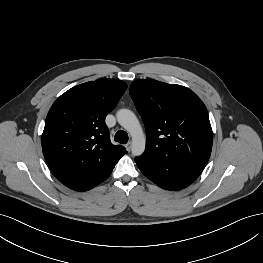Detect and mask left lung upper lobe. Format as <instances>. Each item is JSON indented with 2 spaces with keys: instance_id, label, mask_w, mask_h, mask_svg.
I'll use <instances>...</instances> for the list:
<instances>
[{
  "instance_id": "1",
  "label": "left lung upper lobe",
  "mask_w": 263,
  "mask_h": 263,
  "mask_svg": "<svg viewBox=\"0 0 263 263\" xmlns=\"http://www.w3.org/2000/svg\"><path fill=\"white\" fill-rule=\"evenodd\" d=\"M130 95L146 126L143 155L171 157L203 170L213 132L201 99L184 86L143 79L132 82Z\"/></svg>"
}]
</instances>
